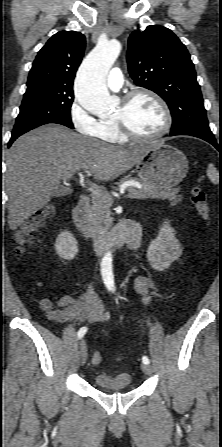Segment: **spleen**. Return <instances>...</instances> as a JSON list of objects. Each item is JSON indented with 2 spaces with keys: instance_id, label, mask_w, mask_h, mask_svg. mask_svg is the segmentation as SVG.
Segmentation results:
<instances>
[{
  "instance_id": "spleen-1",
  "label": "spleen",
  "mask_w": 222,
  "mask_h": 447,
  "mask_svg": "<svg viewBox=\"0 0 222 447\" xmlns=\"http://www.w3.org/2000/svg\"><path fill=\"white\" fill-rule=\"evenodd\" d=\"M207 175L214 184L219 182V174L212 164H209L208 166Z\"/></svg>"
}]
</instances>
